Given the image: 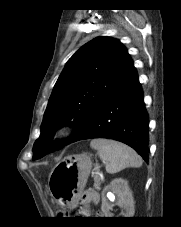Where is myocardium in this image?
I'll list each match as a JSON object with an SVG mask.
<instances>
[{"label": "myocardium", "instance_id": "obj_1", "mask_svg": "<svg viewBox=\"0 0 181 227\" xmlns=\"http://www.w3.org/2000/svg\"><path fill=\"white\" fill-rule=\"evenodd\" d=\"M56 134L59 135V136L63 135L64 134V129L63 128H58L56 130Z\"/></svg>", "mask_w": 181, "mask_h": 227}]
</instances>
